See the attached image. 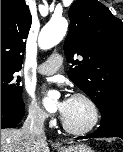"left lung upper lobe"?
Wrapping results in <instances>:
<instances>
[{"mask_svg":"<svg viewBox=\"0 0 123 152\" xmlns=\"http://www.w3.org/2000/svg\"><path fill=\"white\" fill-rule=\"evenodd\" d=\"M64 43L69 78L102 111L123 102V22L97 0H77L69 10ZM77 54L80 59H73Z\"/></svg>","mask_w":123,"mask_h":152,"instance_id":"5c2ea615","label":"left lung upper lobe"}]
</instances>
